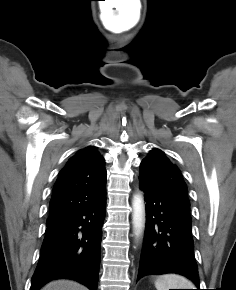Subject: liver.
I'll list each match as a JSON object with an SVG mask.
<instances>
[{"mask_svg": "<svg viewBox=\"0 0 236 290\" xmlns=\"http://www.w3.org/2000/svg\"><path fill=\"white\" fill-rule=\"evenodd\" d=\"M41 290H88V289L75 281L55 280L45 285Z\"/></svg>", "mask_w": 236, "mask_h": 290, "instance_id": "6515ba94", "label": "liver"}]
</instances>
